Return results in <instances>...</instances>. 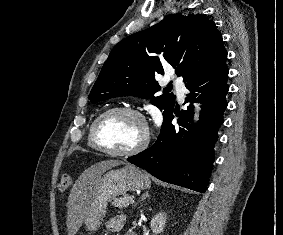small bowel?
Instances as JSON below:
<instances>
[{
    "mask_svg": "<svg viewBox=\"0 0 283 235\" xmlns=\"http://www.w3.org/2000/svg\"><path fill=\"white\" fill-rule=\"evenodd\" d=\"M124 222L125 219L123 216H115L107 222V228L112 233H119L123 228Z\"/></svg>",
    "mask_w": 283,
    "mask_h": 235,
    "instance_id": "c3829d8e",
    "label": "small bowel"
}]
</instances>
